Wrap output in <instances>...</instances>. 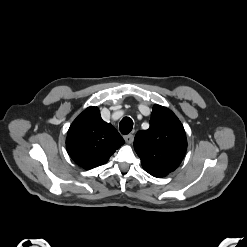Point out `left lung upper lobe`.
<instances>
[{
  "mask_svg": "<svg viewBox=\"0 0 247 247\" xmlns=\"http://www.w3.org/2000/svg\"><path fill=\"white\" fill-rule=\"evenodd\" d=\"M134 148L144 170L162 178L173 172L184 158L187 149L184 128L171 110L156 104L150 127L136 134Z\"/></svg>",
  "mask_w": 247,
  "mask_h": 247,
  "instance_id": "5c2ea615",
  "label": "left lung upper lobe"
}]
</instances>
